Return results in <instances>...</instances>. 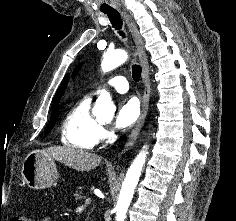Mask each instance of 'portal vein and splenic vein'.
I'll use <instances>...</instances> for the list:
<instances>
[{
    "label": "portal vein and splenic vein",
    "instance_id": "1",
    "mask_svg": "<svg viewBox=\"0 0 236 221\" xmlns=\"http://www.w3.org/2000/svg\"><path fill=\"white\" fill-rule=\"evenodd\" d=\"M91 203V199L87 198L85 199L84 206L89 205Z\"/></svg>",
    "mask_w": 236,
    "mask_h": 221
}]
</instances>
